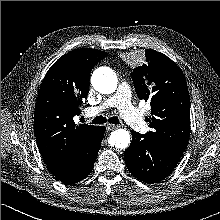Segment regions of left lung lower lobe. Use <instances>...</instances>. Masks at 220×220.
Listing matches in <instances>:
<instances>
[{
	"label": "left lung lower lobe",
	"mask_w": 220,
	"mask_h": 220,
	"mask_svg": "<svg viewBox=\"0 0 220 220\" xmlns=\"http://www.w3.org/2000/svg\"><path fill=\"white\" fill-rule=\"evenodd\" d=\"M182 153L147 134L132 131V142L125 150L124 157L132 175L141 181L153 184L171 174Z\"/></svg>",
	"instance_id": "1"
}]
</instances>
